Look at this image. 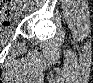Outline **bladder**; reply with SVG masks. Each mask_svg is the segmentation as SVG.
<instances>
[{
    "mask_svg": "<svg viewBox=\"0 0 93 83\" xmlns=\"http://www.w3.org/2000/svg\"><path fill=\"white\" fill-rule=\"evenodd\" d=\"M12 33H13V29L12 28H10V27H4V26L1 27V36L3 38H7V37L11 36Z\"/></svg>",
    "mask_w": 93,
    "mask_h": 83,
    "instance_id": "31cf9c89",
    "label": "bladder"
}]
</instances>
